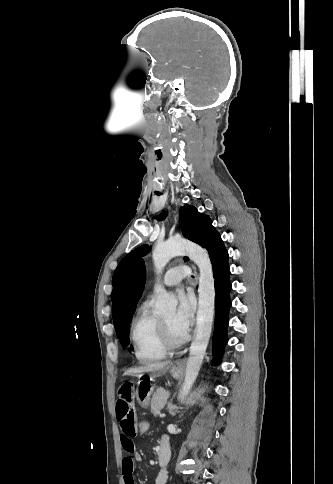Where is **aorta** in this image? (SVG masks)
<instances>
[{
  "instance_id": "aorta-1",
  "label": "aorta",
  "mask_w": 333,
  "mask_h": 484,
  "mask_svg": "<svg viewBox=\"0 0 333 484\" xmlns=\"http://www.w3.org/2000/svg\"><path fill=\"white\" fill-rule=\"evenodd\" d=\"M181 254H187L197 264L200 272L196 336L190 346L185 380L180 391V397L184 400L196 381L210 339L214 317L215 284L212 264L206 249L182 239H169L154 247L152 257L156 273L161 274L165 265L173 257ZM156 292V312L159 314L175 312L177 299L161 286L156 287Z\"/></svg>"
}]
</instances>
